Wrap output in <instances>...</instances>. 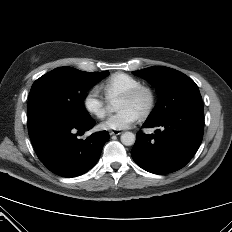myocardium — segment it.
Listing matches in <instances>:
<instances>
[{
    "mask_svg": "<svg viewBox=\"0 0 232 232\" xmlns=\"http://www.w3.org/2000/svg\"><path fill=\"white\" fill-rule=\"evenodd\" d=\"M142 94H146L148 96V102L143 111L141 112L140 117L146 118L152 113L156 104V94L152 87L145 84H141L122 94L119 98L125 100H135Z\"/></svg>",
    "mask_w": 232,
    "mask_h": 232,
    "instance_id": "myocardium-1",
    "label": "myocardium"
}]
</instances>
